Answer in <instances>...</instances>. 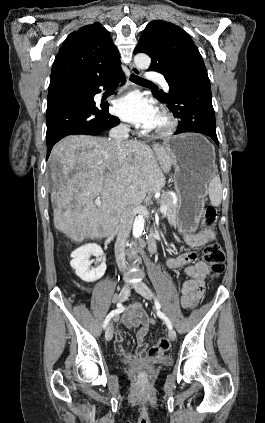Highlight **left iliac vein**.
I'll list each match as a JSON object with an SVG mask.
<instances>
[{
  "instance_id": "obj_1",
  "label": "left iliac vein",
  "mask_w": 265,
  "mask_h": 423,
  "mask_svg": "<svg viewBox=\"0 0 265 423\" xmlns=\"http://www.w3.org/2000/svg\"><path fill=\"white\" fill-rule=\"evenodd\" d=\"M135 290L142 295L144 298H146L147 300H152L153 295L151 290L149 289V287L144 284V283H139L136 287ZM168 336L170 338V340H175L176 339V332L173 329H170L168 332Z\"/></svg>"
}]
</instances>
